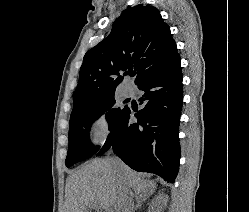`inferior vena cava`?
I'll use <instances>...</instances> for the list:
<instances>
[{"mask_svg": "<svg viewBox=\"0 0 249 212\" xmlns=\"http://www.w3.org/2000/svg\"><path fill=\"white\" fill-rule=\"evenodd\" d=\"M112 164H121V160L119 158H111ZM119 196L120 200L122 202L121 204V212H133V204H132V198L128 196L129 190L126 186V180L123 178V176H119Z\"/></svg>", "mask_w": 249, "mask_h": 212, "instance_id": "1", "label": "inferior vena cava"}]
</instances>
